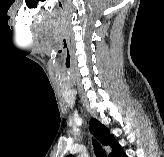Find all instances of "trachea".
Listing matches in <instances>:
<instances>
[{
  "label": "trachea",
  "instance_id": "1",
  "mask_svg": "<svg viewBox=\"0 0 164 157\" xmlns=\"http://www.w3.org/2000/svg\"><path fill=\"white\" fill-rule=\"evenodd\" d=\"M93 147L96 157H107L105 151L97 141H93Z\"/></svg>",
  "mask_w": 164,
  "mask_h": 157
}]
</instances>
